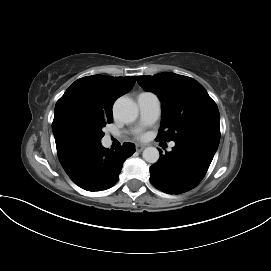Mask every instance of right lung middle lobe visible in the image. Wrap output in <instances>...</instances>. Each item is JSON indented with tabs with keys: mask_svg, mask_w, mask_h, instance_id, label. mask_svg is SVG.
<instances>
[{
	"mask_svg": "<svg viewBox=\"0 0 271 271\" xmlns=\"http://www.w3.org/2000/svg\"><path fill=\"white\" fill-rule=\"evenodd\" d=\"M112 121V115L78 111L67 116L64 130L70 138L81 144L99 147L104 136L102 128Z\"/></svg>",
	"mask_w": 271,
	"mask_h": 271,
	"instance_id": "1",
	"label": "right lung middle lobe"
}]
</instances>
